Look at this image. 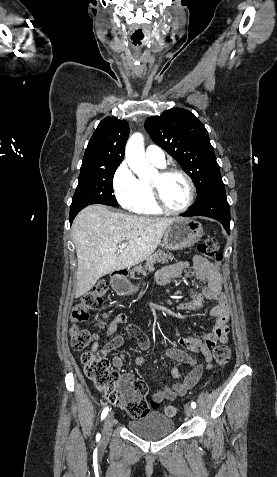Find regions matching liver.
Instances as JSON below:
<instances>
[{
  "mask_svg": "<svg viewBox=\"0 0 277 477\" xmlns=\"http://www.w3.org/2000/svg\"><path fill=\"white\" fill-rule=\"evenodd\" d=\"M175 218H154L112 212L90 205L75 218L73 241L78 259L76 298L103 276L130 268L151 256ZM123 241L127 246L118 253Z\"/></svg>",
  "mask_w": 277,
  "mask_h": 477,
  "instance_id": "obj_1",
  "label": "liver"
}]
</instances>
